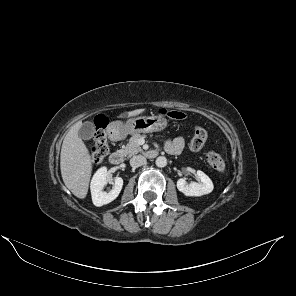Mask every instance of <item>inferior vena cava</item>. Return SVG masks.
<instances>
[{"label": "inferior vena cava", "instance_id": "1", "mask_svg": "<svg viewBox=\"0 0 296 296\" xmlns=\"http://www.w3.org/2000/svg\"><path fill=\"white\" fill-rule=\"evenodd\" d=\"M145 163H146V158L142 155H137L130 159V165L132 167H140Z\"/></svg>", "mask_w": 296, "mask_h": 296}]
</instances>
